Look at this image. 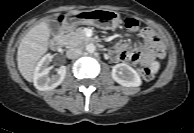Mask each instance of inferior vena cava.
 Returning <instances> with one entry per match:
<instances>
[{
    "label": "inferior vena cava",
    "instance_id": "inferior-vena-cava-1",
    "mask_svg": "<svg viewBox=\"0 0 194 133\" xmlns=\"http://www.w3.org/2000/svg\"><path fill=\"white\" fill-rule=\"evenodd\" d=\"M81 54H82V49L76 48V47H71V48H69V49L67 50V52H66V56H67L69 59L77 58V57H79Z\"/></svg>",
    "mask_w": 194,
    "mask_h": 133
}]
</instances>
